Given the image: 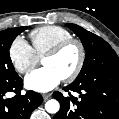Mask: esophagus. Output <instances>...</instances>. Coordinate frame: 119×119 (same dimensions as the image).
<instances>
[{
    "label": "esophagus",
    "mask_w": 119,
    "mask_h": 119,
    "mask_svg": "<svg viewBox=\"0 0 119 119\" xmlns=\"http://www.w3.org/2000/svg\"><path fill=\"white\" fill-rule=\"evenodd\" d=\"M43 99L46 101L51 97V94L47 93V94H43Z\"/></svg>",
    "instance_id": "esophagus-1"
}]
</instances>
